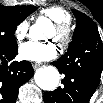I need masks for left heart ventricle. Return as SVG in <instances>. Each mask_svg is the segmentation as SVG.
<instances>
[{
    "instance_id": "1",
    "label": "left heart ventricle",
    "mask_w": 103,
    "mask_h": 103,
    "mask_svg": "<svg viewBox=\"0 0 103 103\" xmlns=\"http://www.w3.org/2000/svg\"><path fill=\"white\" fill-rule=\"evenodd\" d=\"M56 37V31L55 28L53 27L49 33V39H53Z\"/></svg>"
}]
</instances>
